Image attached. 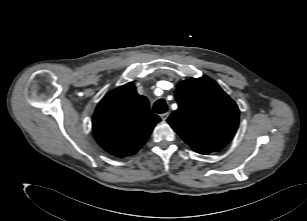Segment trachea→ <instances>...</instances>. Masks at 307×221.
<instances>
[{
  "instance_id": "1",
  "label": "trachea",
  "mask_w": 307,
  "mask_h": 221,
  "mask_svg": "<svg viewBox=\"0 0 307 221\" xmlns=\"http://www.w3.org/2000/svg\"><path fill=\"white\" fill-rule=\"evenodd\" d=\"M153 110L155 113L162 114L167 111V105L164 99H159L154 103Z\"/></svg>"
}]
</instances>
